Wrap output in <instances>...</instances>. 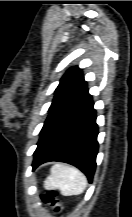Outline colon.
<instances>
[{
  "mask_svg": "<svg viewBox=\"0 0 132 217\" xmlns=\"http://www.w3.org/2000/svg\"><path fill=\"white\" fill-rule=\"evenodd\" d=\"M56 195L57 193L55 191H49L42 195V200L45 203L52 205L56 212H59L62 209V205L57 200Z\"/></svg>",
  "mask_w": 132,
  "mask_h": 217,
  "instance_id": "obj_1",
  "label": "colon"
}]
</instances>
